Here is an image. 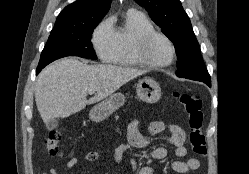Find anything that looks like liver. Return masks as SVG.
<instances>
[{
    "mask_svg": "<svg viewBox=\"0 0 249 174\" xmlns=\"http://www.w3.org/2000/svg\"><path fill=\"white\" fill-rule=\"evenodd\" d=\"M146 71L109 64L88 65L65 58L41 71L35 87V101L46 124L50 119L66 118L112 95L130 80ZM90 91L96 94L87 100Z\"/></svg>",
    "mask_w": 249,
    "mask_h": 174,
    "instance_id": "6515ba94",
    "label": "liver"
}]
</instances>
